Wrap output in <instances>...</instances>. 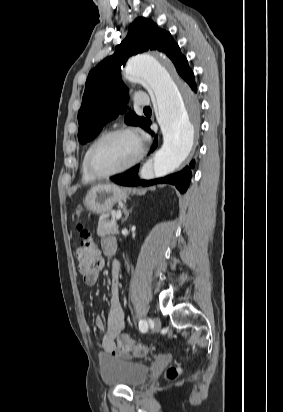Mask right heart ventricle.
Masks as SVG:
<instances>
[{
  "label": "right heart ventricle",
  "instance_id": "obj_1",
  "mask_svg": "<svg viewBox=\"0 0 283 412\" xmlns=\"http://www.w3.org/2000/svg\"><path fill=\"white\" fill-rule=\"evenodd\" d=\"M100 136H101V135H99L98 137H96V138L88 145V147L86 148V150H85V152H84V155H83V158H82V162H81V174H82V179H83V181L91 182V181L94 180V178H93L92 175L89 173V171H88V169H87V167H86V155H87V152H88L90 146L92 145V143H93L96 139H98Z\"/></svg>",
  "mask_w": 283,
  "mask_h": 412
}]
</instances>
